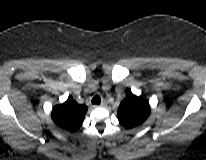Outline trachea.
<instances>
[{
	"label": "trachea",
	"mask_w": 206,
	"mask_h": 160,
	"mask_svg": "<svg viewBox=\"0 0 206 160\" xmlns=\"http://www.w3.org/2000/svg\"><path fill=\"white\" fill-rule=\"evenodd\" d=\"M92 104H96V105H99L101 103V98L99 95H96L92 98Z\"/></svg>",
	"instance_id": "3493384b"
}]
</instances>
